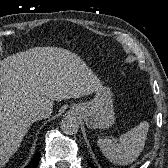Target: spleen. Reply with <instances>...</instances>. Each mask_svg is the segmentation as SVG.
I'll return each instance as SVG.
<instances>
[{
  "label": "spleen",
  "instance_id": "1",
  "mask_svg": "<svg viewBox=\"0 0 168 168\" xmlns=\"http://www.w3.org/2000/svg\"><path fill=\"white\" fill-rule=\"evenodd\" d=\"M148 129V122L143 121L122 134L119 139L98 138L97 144L111 162L117 165H128L134 162L143 151Z\"/></svg>",
  "mask_w": 168,
  "mask_h": 168
}]
</instances>
